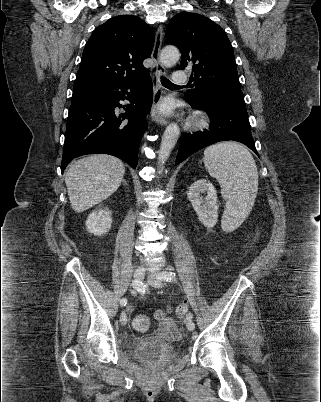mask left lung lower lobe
Segmentation results:
<instances>
[{
    "instance_id": "0a47b994",
    "label": "left lung lower lobe",
    "mask_w": 321,
    "mask_h": 402,
    "mask_svg": "<svg viewBox=\"0 0 321 402\" xmlns=\"http://www.w3.org/2000/svg\"><path fill=\"white\" fill-rule=\"evenodd\" d=\"M189 104L208 114L211 120L210 130L184 136L179 146L176 165L194 152L220 141L241 142L258 155L242 92H217L201 103Z\"/></svg>"
}]
</instances>
